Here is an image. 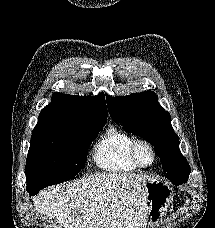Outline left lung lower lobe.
I'll use <instances>...</instances> for the list:
<instances>
[{
	"instance_id": "1",
	"label": "left lung lower lobe",
	"mask_w": 215,
	"mask_h": 228,
	"mask_svg": "<svg viewBox=\"0 0 215 228\" xmlns=\"http://www.w3.org/2000/svg\"><path fill=\"white\" fill-rule=\"evenodd\" d=\"M184 182H186V181H175V182H173V184H174V185H181V184L184 183Z\"/></svg>"
}]
</instances>
